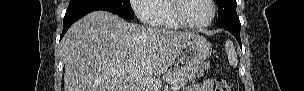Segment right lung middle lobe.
Wrapping results in <instances>:
<instances>
[{
  "mask_svg": "<svg viewBox=\"0 0 304 91\" xmlns=\"http://www.w3.org/2000/svg\"><path fill=\"white\" fill-rule=\"evenodd\" d=\"M100 1L109 3L115 10V13L122 18L131 19L134 17V13L132 11L129 0H100Z\"/></svg>",
  "mask_w": 304,
  "mask_h": 91,
  "instance_id": "right-lung-middle-lobe-1",
  "label": "right lung middle lobe"
}]
</instances>
